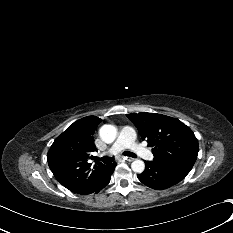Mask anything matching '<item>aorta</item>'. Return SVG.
<instances>
[{"mask_svg":"<svg viewBox=\"0 0 233 233\" xmlns=\"http://www.w3.org/2000/svg\"><path fill=\"white\" fill-rule=\"evenodd\" d=\"M101 139L106 143H112L117 136V129L113 125H103L99 130ZM131 168L136 173H142L145 169V164L142 160H135L131 164Z\"/></svg>","mask_w":233,"mask_h":233,"instance_id":"obj_1","label":"aorta"}]
</instances>
